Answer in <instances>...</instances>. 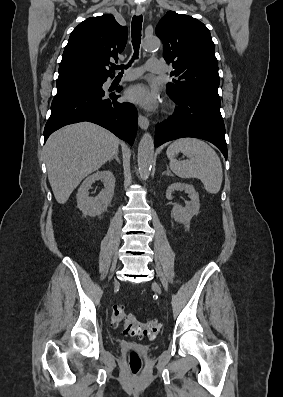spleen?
Instances as JSON below:
<instances>
[{
  "label": "spleen",
  "instance_id": "obj_1",
  "mask_svg": "<svg viewBox=\"0 0 283 397\" xmlns=\"http://www.w3.org/2000/svg\"><path fill=\"white\" fill-rule=\"evenodd\" d=\"M179 152L189 159L177 160ZM166 154L170 160V169L178 177L197 178L208 193L219 192L223 180L222 165L217 153L207 143L196 138H181L167 148Z\"/></svg>",
  "mask_w": 283,
  "mask_h": 397
}]
</instances>
